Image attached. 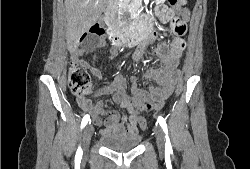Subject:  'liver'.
<instances>
[{
	"mask_svg": "<svg viewBox=\"0 0 250 169\" xmlns=\"http://www.w3.org/2000/svg\"><path fill=\"white\" fill-rule=\"evenodd\" d=\"M107 2L108 0H64L68 50L76 48L80 36L95 24Z\"/></svg>",
	"mask_w": 250,
	"mask_h": 169,
	"instance_id": "1",
	"label": "liver"
}]
</instances>
